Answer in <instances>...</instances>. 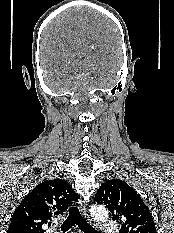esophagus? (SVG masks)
<instances>
[{"instance_id":"34e87169","label":"esophagus","mask_w":174,"mask_h":233,"mask_svg":"<svg viewBox=\"0 0 174 233\" xmlns=\"http://www.w3.org/2000/svg\"><path fill=\"white\" fill-rule=\"evenodd\" d=\"M79 209L85 218H89V215L87 213L86 203L82 199L79 200Z\"/></svg>"}]
</instances>
